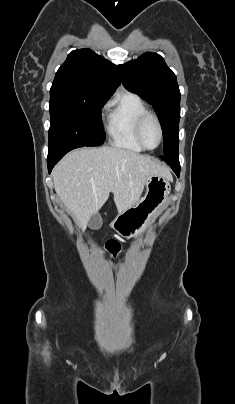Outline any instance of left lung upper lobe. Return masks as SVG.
Wrapping results in <instances>:
<instances>
[{
  "label": "left lung upper lobe",
  "instance_id": "obj_1",
  "mask_svg": "<svg viewBox=\"0 0 235 404\" xmlns=\"http://www.w3.org/2000/svg\"><path fill=\"white\" fill-rule=\"evenodd\" d=\"M118 71L125 88L147 100L155 109L163 130V156L178 158L180 90L175 74L160 55L150 52L119 65Z\"/></svg>",
  "mask_w": 235,
  "mask_h": 404
}]
</instances>
